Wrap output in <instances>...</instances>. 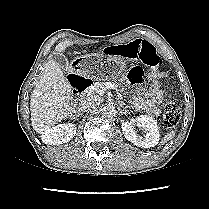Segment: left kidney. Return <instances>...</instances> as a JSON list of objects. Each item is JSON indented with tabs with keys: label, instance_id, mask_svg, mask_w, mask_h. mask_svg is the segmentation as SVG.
<instances>
[{
	"label": "left kidney",
	"instance_id": "5707ae66",
	"mask_svg": "<svg viewBox=\"0 0 209 209\" xmlns=\"http://www.w3.org/2000/svg\"><path fill=\"white\" fill-rule=\"evenodd\" d=\"M135 121L138 127L144 129L145 135L137 136L133 123L125 121L121 126L124 137L138 147L150 148L156 146L160 140L157 121L148 115H140Z\"/></svg>",
	"mask_w": 209,
	"mask_h": 209
}]
</instances>
